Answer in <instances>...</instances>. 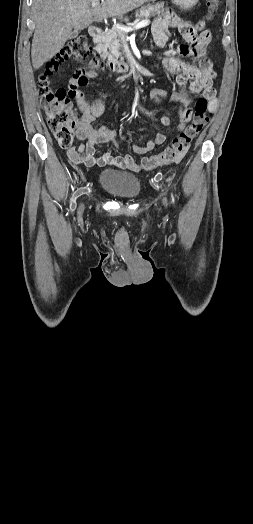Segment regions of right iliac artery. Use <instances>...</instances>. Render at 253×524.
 Returning a JSON list of instances; mask_svg holds the SVG:
<instances>
[{
	"instance_id": "82829eb1",
	"label": "right iliac artery",
	"mask_w": 253,
	"mask_h": 524,
	"mask_svg": "<svg viewBox=\"0 0 253 524\" xmlns=\"http://www.w3.org/2000/svg\"><path fill=\"white\" fill-rule=\"evenodd\" d=\"M80 196V193L78 191H75L73 193V196L71 198V202H70V209L72 211H74L76 209V206H77V198Z\"/></svg>"
}]
</instances>
